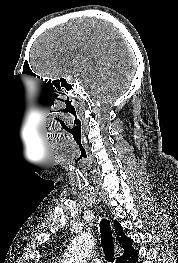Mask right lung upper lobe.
<instances>
[{
    "label": "right lung upper lobe",
    "mask_w": 178,
    "mask_h": 263,
    "mask_svg": "<svg viewBox=\"0 0 178 263\" xmlns=\"http://www.w3.org/2000/svg\"><path fill=\"white\" fill-rule=\"evenodd\" d=\"M115 231L117 235V240L121 244L124 253L121 257L117 258L116 263H121L124 258L128 257L130 254H132L135 250L132 247V239L125 236L123 229L121 225L118 223V221H115Z\"/></svg>",
    "instance_id": "1"
}]
</instances>
